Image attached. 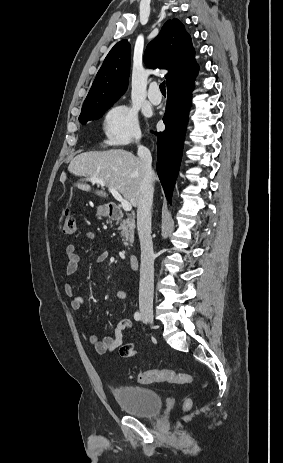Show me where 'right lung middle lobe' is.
Listing matches in <instances>:
<instances>
[{
  "mask_svg": "<svg viewBox=\"0 0 283 463\" xmlns=\"http://www.w3.org/2000/svg\"><path fill=\"white\" fill-rule=\"evenodd\" d=\"M117 99L118 98L109 99L94 104L84 105L79 116V121L82 124H86V122L89 120L99 119Z\"/></svg>",
  "mask_w": 283,
  "mask_h": 463,
  "instance_id": "1",
  "label": "right lung middle lobe"
}]
</instances>
